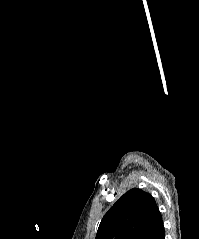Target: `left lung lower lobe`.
Wrapping results in <instances>:
<instances>
[{
	"label": "left lung lower lobe",
	"instance_id": "0a47b994",
	"mask_svg": "<svg viewBox=\"0 0 199 239\" xmlns=\"http://www.w3.org/2000/svg\"><path fill=\"white\" fill-rule=\"evenodd\" d=\"M151 239H165V234H164V225L163 221L159 223L153 237Z\"/></svg>",
	"mask_w": 199,
	"mask_h": 239
}]
</instances>
